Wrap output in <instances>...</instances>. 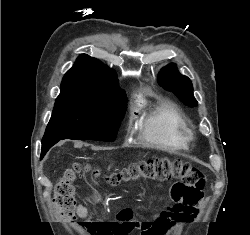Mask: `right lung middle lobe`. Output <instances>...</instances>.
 I'll return each instance as SVG.
<instances>
[{
    "label": "right lung middle lobe",
    "mask_w": 250,
    "mask_h": 235,
    "mask_svg": "<svg viewBox=\"0 0 250 235\" xmlns=\"http://www.w3.org/2000/svg\"><path fill=\"white\" fill-rule=\"evenodd\" d=\"M126 102L124 94L108 98L56 99L42 143L67 138L114 141Z\"/></svg>",
    "instance_id": "dd1d6c3e"
}]
</instances>
